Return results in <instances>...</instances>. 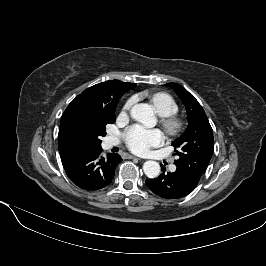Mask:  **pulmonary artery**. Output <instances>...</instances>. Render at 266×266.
I'll list each match as a JSON object with an SVG mask.
<instances>
[{"instance_id":"e3ab8cb5","label":"pulmonary artery","mask_w":266,"mask_h":266,"mask_svg":"<svg viewBox=\"0 0 266 266\" xmlns=\"http://www.w3.org/2000/svg\"><path fill=\"white\" fill-rule=\"evenodd\" d=\"M118 139L116 137H108L107 140H106V144L108 147H112V146H115L118 144ZM171 170H175V166L172 165L171 166Z\"/></svg>"}]
</instances>
